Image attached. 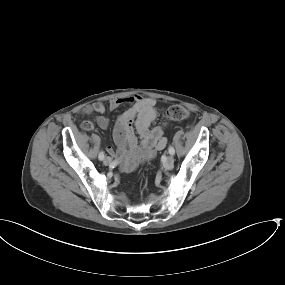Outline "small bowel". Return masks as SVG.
Wrapping results in <instances>:
<instances>
[{
	"label": "small bowel",
	"instance_id": "small-bowel-1",
	"mask_svg": "<svg viewBox=\"0 0 285 285\" xmlns=\"http://www.w3.org/2000/svg\"><path fill=\"white\" fill-rule=\"evenodd\" d=\"M122 105H127L128 108L120 115L114 129L117 149L109 146L108 151L117 154L123 171L132 172L141 162L152 160L157 151L166 147L167 140L163 136L165 124L151 128V123L157 115L156 101L152 98L134 95L121 100H112L108 105L96 102L85 106L82 111L84 114H101L96 118V123L99 127L106 129L111 121L102 114L106 110L115 111ZM93 127L94 124L90 120L82 123L84 130L89 131Z\"/></svg>",
	"mask_w": 285,
	"mask_h": 285
}]
</instances>
